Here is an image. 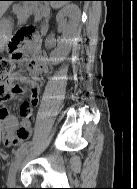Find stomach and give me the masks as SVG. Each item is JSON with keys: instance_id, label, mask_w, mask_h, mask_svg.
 <instances>
[{"instance_id": "stomach-1", "label": "stomach", "mask_w": 137, "mask_h": 189, "mask_svg": "<svg viewBox=\"0 0 137 189\" xmlns=\"http://www.w3.org/2000/svg\"><path fill=\"white\" fill-rule=\"evenodd\" d=\"M39 3V2H35ZM26 7V6H23ZM42 14H47V12H44V9L42 10ZM12 28V23L9 19H0V42H5L6 38H8Z\"/></svg>"}]
</instances>
